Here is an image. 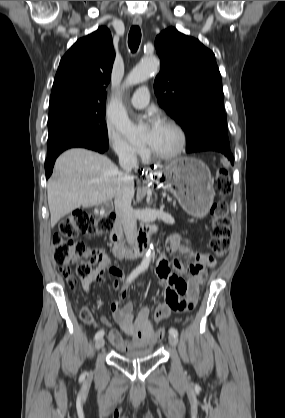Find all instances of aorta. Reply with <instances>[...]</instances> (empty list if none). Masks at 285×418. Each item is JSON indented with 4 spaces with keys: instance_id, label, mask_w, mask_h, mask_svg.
I'll return each mask as SVG.
<instances>
[{
    "instance_id": "aorta-1",
    "label": "aorta",
    "mask_w": 285,
    "mask_h": 418,
    "mask_svg": "<svg viewBox=\"0 0 285 418\" xmlns=\"http://www.w3.org/2000/svg\"><path fill=\"white\" fill-rule=\"evenodd\" d=\"M158 67L159 60L155 56L144 57L129 73L125 81V86L145 82ZM108 118L111 124L130 141L136 140L143 134V128L133 125L126 110L119 103L114 102L110 105ZM153 250L154 246L151 242L139 266L142 271L148 269L153 256Z\"/></svg>"
}]
</instances>
